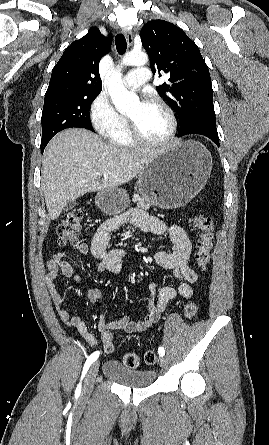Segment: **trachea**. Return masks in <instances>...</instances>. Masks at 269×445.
<instances>
[{"instance_id":"3493384b","label":"trachea","mask_w":269,"mask_h":445,"mask_svg":"<svg viewBox=\"0 0 269 445\" xmlns=\"http://www.w3.org/2000/svg\"><path fill=\"white\" fill-rule=\"evenodd\" d=\"M116 49L119 54H124L127 48V42L123 34L116 36Z\"/></svg>"}]
</instances>
